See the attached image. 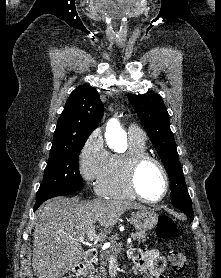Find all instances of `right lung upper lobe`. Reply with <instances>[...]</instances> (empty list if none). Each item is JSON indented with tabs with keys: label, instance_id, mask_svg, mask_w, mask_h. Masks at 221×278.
Returning a JSON list of instances; mask_svg holds the SVG:
<instances>
[{
	"label": "right lung upper lobe",
	"instance_id": "cb5924a9",
	"mask_svg": "<svg viewBox=\"0 0 221 278\" xmlns=\"http://www.w3.org/2000/svg\"><path fill=\"white\" fill-rule=\"evenodd\" d=\"M103 104L96 89L80 85L69 96L58 120L52 147L87 140L103 115Z\"/></svg>",
	"mask_w": 221,
	"mask_h": 278
}]
</instances>
